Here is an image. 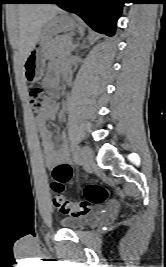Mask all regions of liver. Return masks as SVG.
<instances>
[{"label":"liver","instance_id":"6515ba94","mask_svg":"<svg viewBox=\"0 0 166 267\" xmlns=\"http://www.w3.org/2000/svg\"><path fill=\"white\" fill-rule=\"evenodd\" d=\"M62 10L50 4H21L18 6V49L25 61L36 43L42 26Z\"/></svg>","mask_w":166,"mask_h":267}]
</instances>
